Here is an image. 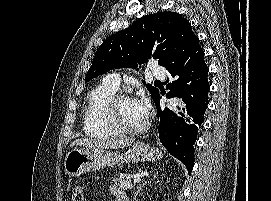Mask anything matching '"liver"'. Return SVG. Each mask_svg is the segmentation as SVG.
Returning a JSON list of instances; mask_svg holds the SVG:
<instances>
[{
  "mask_svg": "<svg viewBox=\"0 0 271 201\" xmlns=\"http://www.w3.org/2000/svg\"><path fill=\"white\" fill-rule=\"evenodd\" d=\"M134 142V138H114L108 140H99L92 138H80L71 143L73 146H84L86 148H100V149H119L125 148Z\"/></svg>",
  "mask_w": 271,
  "mask_h": 201,
  "instance_id": "1",
  "label": "liver"
}]
</instances>
